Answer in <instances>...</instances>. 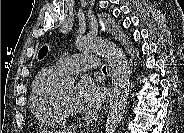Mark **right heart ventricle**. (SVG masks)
Wrapping results in <instances>:
<instances>
[{
    "instance_id": "obj_1",
    "label": "right heart ventricle",
    "mask_w": 184,
    "mask_h": 133,
    "mask_svg": "<svg viewBox=\"0 0 184 133\" xmlns=\"http://www.w3.org/2000/svg\"><path fill=\"white\" fill-rule=\"evenodd\" d=\"M62 74L56 67L44 69L36 77L30 96V104L36 118L46 125H58L64 117L57 103Z\"/></svg>"
}]
</instances>
